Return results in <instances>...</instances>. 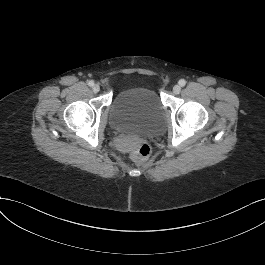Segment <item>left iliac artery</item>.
<instances>
[{"instance_id":"left-iliac-artery-1","label":"left iliac artery","mask_w":265,"mask_h":265,"mask_svg":"<svg viewBox=\"0 0 265 265\" xmlns=\"http://www.w3.org/2000/svg\"><path fill=\"white\" fill-rule=\"evenodd\" d=\"M179 85L181 86V87H183V86H185V84H186V81L184 80V79H181V80H179Z\"/></svg>"}]
</instances>
